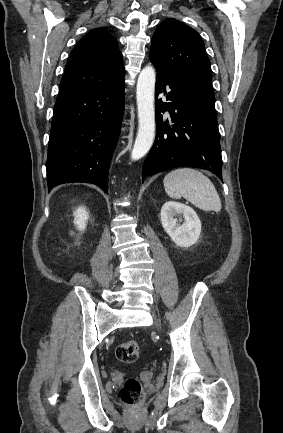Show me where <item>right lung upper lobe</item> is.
<instances>
[{
	"instance_id": "obj_1",
	"label": "right lung upper lobe",
	"mask_w": 283,
	"mask_h": 433,
	"mask_svg": "<svg viewBox=\"0 0 283 433\" xmlns=\"http://www.w3.org/2000/svg\"><path fill=\"white\" fill-rule=\"evenodd\" d=\"M125 75L117 40L105 29L86 34L72 50L58 96L70 95L117 82Z\"/></svg>"
}]
</instances>
